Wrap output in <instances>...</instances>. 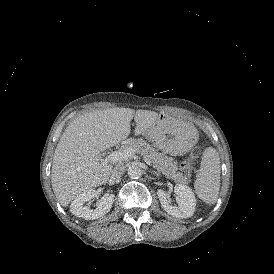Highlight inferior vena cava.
Instances as JSON below:
<instances>
[{"instance_id": "inferior-vena-cava-1", "label": "inferior vena cava", "mask_w": 274, "mask_h": 274, "mask_svg": "<svg viewBox=\"0 0 274 274\" xmlns=\"http://www.w3.org/2000/svg\"><path fill=\"white\" fill-rule=\"evenodd\" d=\"M125 172H126V167L117 165L112 171V177L115 179H119L122 177V175L125 174Z\"/></svg>"}]
</instances>
